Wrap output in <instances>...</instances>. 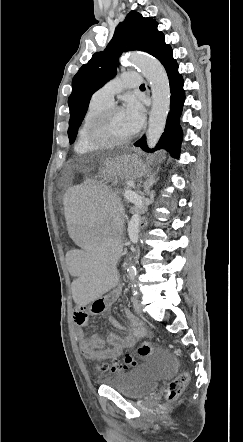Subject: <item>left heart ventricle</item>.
I'll return each instance as SVG.
<instances>
[{
	"mask_svg": "<svg viewBox=\"0 0 243 442\" xmlns=\"http://www.w3.org/2000/svg\"><path fill=\"white\" fill-rule=\"evenodd\" d=\"M133 132L129 127L122 110L112 114L101 135L105 140L115 141L121 140L132 135Z\"/></svg>",
	"mask_w": 243,
	"mask_h": 442,
	"instance_id": "left-heart-ventricle-1",
	"label": "left heart ventricle"
}]
</instances>
